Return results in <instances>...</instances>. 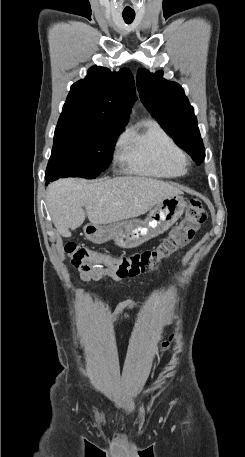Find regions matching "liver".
Here are the masks:
<instances>
[{"label": "liver", "instance_id": "1", "mask_svg": "<svg viewBox=\"0 0 245 457\" xmlns=\"http://www.w3.org/2000/svg\"><path fill=\"white\" fill-rule=\"evenodd\" d=\"M181 190L146 176H115L102 180L59 178L47 188V206L62 237L85 220V206L92 224H108L145 214L162 198L180 194Z\"/></svg>", "mask_w": 245, "mask_h": 457}]
</instances>
